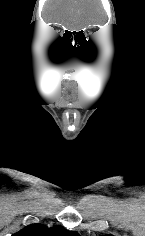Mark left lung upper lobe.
I'll return each mask as SVG.
<instances>
[{"instance_id":"obj_1","label":"left lung upper lobe","mask_w":145,"mask_h":236,"mask_svg":"<svg viewBox=\"0 0 145 236\" xmlns=\"http://www.w3.org/2000/svg\"><path fill=\"white\" fill-rule=\"evenodd\" d=\"M104 236H112V235L106 234V235H104Z\"/></svg>"}]
</instances>
